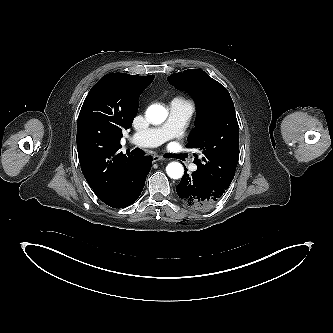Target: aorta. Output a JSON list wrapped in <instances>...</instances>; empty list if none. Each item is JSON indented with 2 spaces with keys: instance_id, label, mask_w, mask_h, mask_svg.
Segmentation results:
<instances>
[{
  "instance_id": "1",
  "label": "aorta",
  "mask_w": 333,
  "mask_h": 333,
  "mask_svg": "<svg viewBox=\"0 0 333 333\" xmlns=\"http://www.w3.org/2000/svg\"><path fill=\"white\" fill-rule=\"evenodd\" d=\"M167 110L158 104H152L146 110L147 119L154 124H161L167 118ZM167 175L172 179H179L183 176L184 168L179 162H171L166 167Z\"/></svg>"
}]
</instances>
